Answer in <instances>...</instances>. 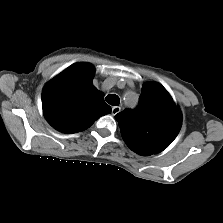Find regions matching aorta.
I'll use <instances>...</instances> for the list:
<instances>
[{"label":"aorta","instance_id":"1","mask_svg":"<svg viewBox=\"0 0 223 223\" xmlns=\"http://www.w3.org/2000/svg\"><path fill=\"white\" fill-rule=\"evenodd\" d=\"M128 98H132V104L133 105L136 104L137 101H138V97L133 92H128L126 94V99H128Z\"/></svg>","mask_w":223,"mask_h":223}]
</instances>
